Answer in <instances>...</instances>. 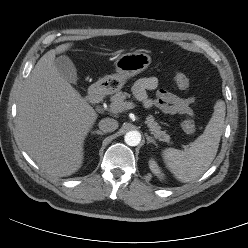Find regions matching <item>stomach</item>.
Masks as SVG:
<instances>
[{
    "label": "stomach",
    "instance_id": "obj_1",
    "mask_svg": "<svg viewBox=\"0 0 248 248\" xmlns=\"http://www.w3.org/2000/svg\"><path fill=\"white\" fill-rule=\"evenodd\" d=\"M150 64L151 57L148 54L141 52L124 53L114 63L116 73L100 79L98 85L107 93L118 92L130 77L141 73Z\"/></svg>",
    "mask_w": 248,
    "mask_h": 248
}]
</instances>
